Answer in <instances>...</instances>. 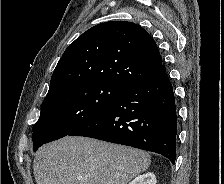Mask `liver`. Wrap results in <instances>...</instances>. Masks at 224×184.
Segmentation results:
<instances>
[{
  "label": "liver",
  "mask_w": 224,
  "mask_h": 184,
  "mask_svg": "<svg viewBox=\"0 0 224 184\" xmlns=\"http://www.w3.org/2000/svg\"><path fill=\"white\" fill-rule=\"evenodd\" d=\"M150 163L139 149L66 136L38 150L33 170L37 184H127Z\"/></svg>",
  "instance_id": "1"
}]
</instances>
